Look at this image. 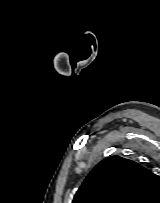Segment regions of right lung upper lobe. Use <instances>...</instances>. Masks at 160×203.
<instances>
[{"mask_svg":"<svg viewBox=\"0 0 160 203\" xmlns=\"http://www.w3.org/2000/svg\"><path fill=\"white\" fill-rule=\"evenodd\" d=\"M159 194L154 173L133 160L110 156L89 173L72 203H152Z\"/></svg>","mask_w":160,"mask_h":203,"instance_id":"cb5924a9","label":"right lung upper lobe"}]
</instances>
